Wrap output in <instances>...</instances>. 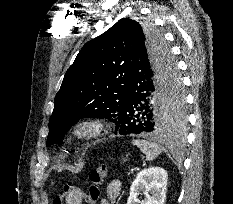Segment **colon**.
<instances>
[{
    "label": "colon",
    "instance_id": "colon-1",
    "mask_svg": "<svg viewBox=\"0 0 233 204\" xmlns=\"http://www.w3.org/2000/svg\"><path fill=\"white\" fill-rule=\"evenodd\" d=\"M107 175L106 165H100L89 173L88 192L70 183L64 185L63 193L54 199L53 204H83L86 199L95 201L100 196V186Z\"/></svg>",
    "mask_w": 233,
    "mask_h": 204
}]
</instances>
